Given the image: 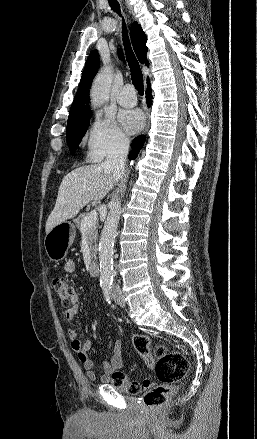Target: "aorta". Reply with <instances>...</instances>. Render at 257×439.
<instances>
[{
	"instance_id": "aorta-1",
	"label": "aorta",
	"mask_w": 257,
	"mask_h": 439,
	"mask_svg": "<svg viewBox=\"0 0 257 439\" xmlns=\"http://www.w3.org/2000/svg\"><path fill=\"white\" fill-rule=\"evenodd\" d=\"M111 82L112 73L108 68L96 77L91 91V104L93 108L99 107L108 99ZM120 215L121 201L116 199L111 203L99 241L101 284H110L113 281V248Z\"/></svg>"
}]
</instances>
